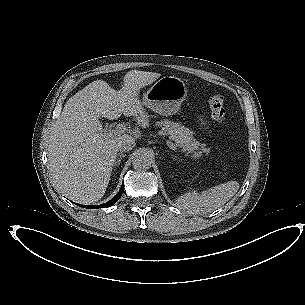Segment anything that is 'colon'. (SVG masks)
Instances as JSON below:
<instances>
[{"mask_svg": "<svg viewBox=\"0 0 305 305\" xmlns=\"http://www.w3.org/2000/svg\"><path fill=\"white\" fill-rule=\"evenodd\" d=\"M209 105L213 119L219 123H223L226 120L223 98L215 96L210 100Z\"/></svg>", "mask_w": 305, "mask_h": 305, "instance_id": "obj_1", "label": "colon"}]
</instances>
